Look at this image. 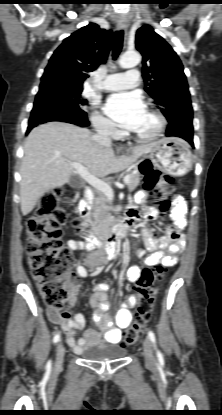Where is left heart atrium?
Here are the masks:
<instances>
[{
	"label": "left heart atrium",
	"mask_w": 222,
	"mask_h": 415,
	"mask_svg": "<svg viewBox=\"0 0 222 415\" xmlns=\"http://www.w3.org/2000/svg\"><path fill=\"white\" fill-rule=\"evenodd\" d=\"M104 112L124 128L134 127L145 110L141 96L136 92H122L109 96Z\"/></svg>",
	"instance_id": "obj_1"
}]
</instances>
